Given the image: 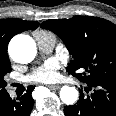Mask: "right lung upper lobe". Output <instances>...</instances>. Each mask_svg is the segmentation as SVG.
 Masks as SVG:
<instances>
[{
    "mask_svg": "<svg viewBox=\"0 0 116 116\" xmlns=\"http://www.w3.org/2000/svg\"><path fill=\"white\" fill-rule=\"evenodd\" d=\"M38 26V22L24 21L18 18L0 19V62L9 59L7 45L14 35L36 29Z\"/></svg>",
    "mask_w": 116,
    "mask_h": 116,
    "instance_id": "1",
    "label": "right lung upper lobe"
}]
</instances>
